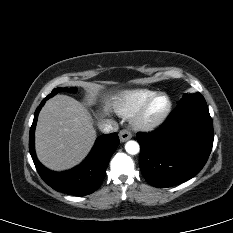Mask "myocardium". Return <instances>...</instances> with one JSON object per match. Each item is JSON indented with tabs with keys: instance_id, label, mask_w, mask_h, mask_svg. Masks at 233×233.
Returning <instances> with one entry per match:
<instances>
[{
	"instance_id": "1",
	"label": "myocardium",
	"mask_w": 233,
	"mask_h": 233,
	"mask_svg": "<svg viewBox=\"0 0 233 233\" xmlns=\"http://www.w3.org/2000/svg\"><path fill=\"white\" fill-rule=\"evenodd\" d=\"M159 97H164L167 100V106L163 113L154 120L147 119V112L150 108L151 104ZM172 110V101L170 97L163 93L157 92L151 97H149L140 108L133 114L132 116V124L133 126L140 131H153L160 127L168 118Z\"/></svg>"
}]
</instances>
